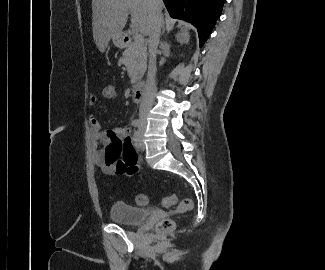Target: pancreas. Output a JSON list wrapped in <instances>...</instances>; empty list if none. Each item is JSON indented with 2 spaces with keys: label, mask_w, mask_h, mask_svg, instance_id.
Wrapping results in <instances>:
<instances>
[{
  "label": "pancreas",
  "mask_w": 325,
  "mask_h": 270,
  "mask_svg": "<svg viewBox=\"0 0 325 270\" xmlns=\"http://www.w3.org/2000/svg\"><path fill=\"white\" fill-rule=\"evenodd\" d=\"M119 64L125 65L132 84L144 75L147 66V47L145 44L131 43L124 51Z\"/></svg>",
  "instance_id": "cf45deb5"
}]
</instances>
